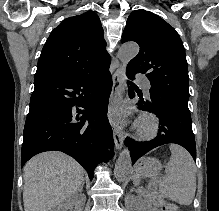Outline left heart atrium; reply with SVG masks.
I'll return each instance as SVG.
<instances>
[{
	"label": "left heart atrium",
	"mask_w": 219,
	"mask_h": 211,
	"mask_svg": "<svg viewBox=\"0 0 219 211\" xmlns=\"http://www.w3.org/2000/svg\"><path fill=\"white\" fill-rule=\"evenodd\" d=\"M116 111H117V113H119V112H120V109H117Z\"/></svg>",
	"instance_id": "39dd6f15"
}]
</instances>
